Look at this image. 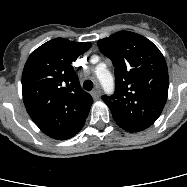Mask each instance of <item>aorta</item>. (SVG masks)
Listing matches in <instances>:
<instances>
[{
	"label": "aorta",
	"mask_w": 187,
	"mask_h": 187,
	"mask_svg": "<svg viewBox=\"0 0 187 187\" xmlns=\"http://www.w3.org/2000/svg\"><path fill=\"white\" fill-rule=\"evenodd\" d=\"M95 72L105 93L111 94L114 90V80L110 72L104 65H98Z\"/></svg>",
	"instance_id": "1"
}]
</instances>
